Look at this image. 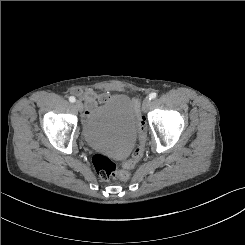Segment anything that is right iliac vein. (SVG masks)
Listing matches in <instances>:
<instances>
[{"mask_svg": "<svg viewBox=\"0 0 245 245\" xmlns=\"http://www.w3.org/2000/svg\"><path fill=\"white\" fill-rule=\"evenodd\" d=\"M75 106H76V108H77L78 110H82V108H83V104H82V102L79 101V100H77V101L75 102Z\"/></svg>", "mask_w": 245, "mask_h": 245, "instance_id": "63e3f726", "label": "right iliac vein"}]
</instances>
